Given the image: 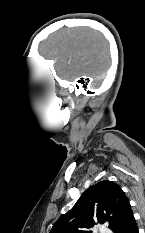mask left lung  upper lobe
Instances as JSON below:
<instances>
[{"instance_id":"5c2ea615","label":"left lung upper lobe","mask_w":145,"mask_h":233,"mask_svg":"<svg viewBox=\"0 0 145 233\" xmlns=\"http://www.w3.org/2000/svg\"><path fill=\"white\" fill-rule=\"evenodd\" d=\"M134 220L129 199L120 186L104 180L89 187L50 233H92L94 225L104 222L115 233H125Z\"/></svg>"}]
</instances>
